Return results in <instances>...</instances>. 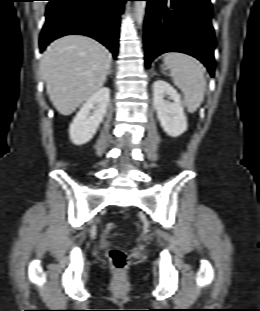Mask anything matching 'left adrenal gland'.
Here are the masks:
<instances>
[{"mask_svg":"<svg viewBox=\"0 0 260 311\" xmlns=\"http://www.w3.org/2000/svg\"><path fill=\"white\" fill-rule=\"evenodd\" d=\"M152 75H156V72H153Z\"/></svg>","mask_w":260,"mask_h":311,"instance_id":"a2214340","label":"left adrenal gland"}]
</instances>
